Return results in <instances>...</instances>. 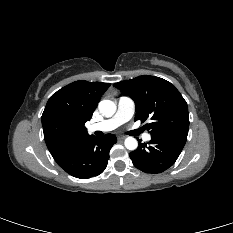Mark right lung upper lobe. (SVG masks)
Wrapping results in <instances>:
<instances>
[{"mask_svg":"<svg viewBox=\"0 0 233 233\" xmlns=\"http://www.w3.org/2000/svg\"><path fill=\"white\" fill-rule=\"evenodd\" d=\"M110 83L73 82L48 100L41 120L46 145L56 162L93 137L84 126Z\"/></svg>","mask_w":233,"mask_h":233,"instance_id":"1","label":"right lung upper lobe"}]
</instances>
